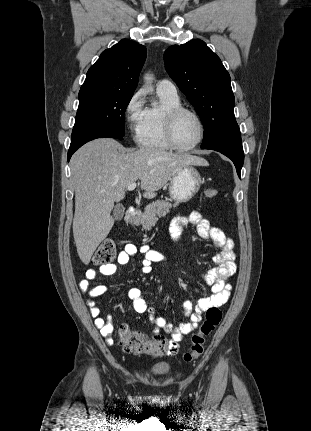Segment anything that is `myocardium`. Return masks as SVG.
<instances>
[{
    "label": "myocardium",
    "mask_w": 311,
    "mask_h": 431,
    "mask_svg": "<svg viewBox=\"0 0 311 431\" xmlns=\"http://www.w3.org/2000/svg\"><path fill=\"white\" fill-rule=\"evenodd\" d=\"M183 113L193 114L198 119L201 127V134L198 140L194 144L187 147L180 146L175 137L176 122ZM164 131H165V137L172 148L180 151H188V150L195 149L202 143L204 136L206 135V132H207V127H206L204 118L198 111L190 107L177 106L167 111L165 115V120H164Z\"/></svg>",
    "instance_id": "myocardium-1"
}]
</instances>
